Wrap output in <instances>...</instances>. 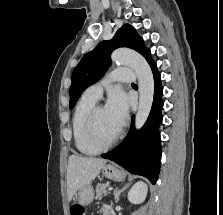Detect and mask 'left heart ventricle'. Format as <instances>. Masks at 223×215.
I'll list each match as a JSON object with an SVG mask.
<instances>
[{
    "mask_svg": "<svg viewBox=\"0 0 223 215\" xmlns=\"http://www.w3.org/2000/svg\"><path fill=\"white\" fill-rule=\"evenodd\" d=\"M119 127L108 116L105 109L98 112L96 120L97 137L102 144L109 143L117 134Z\"/></svg>",
    "mask_w": 223,
    "mask_h": 215,
    "instance_id": "1",
    "label": "left heart ventricle"
}]
</instances>
